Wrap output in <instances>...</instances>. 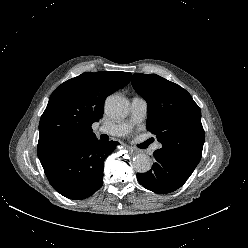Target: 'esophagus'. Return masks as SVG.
Instances as JSON below:
<instances>
[{"mask_svg":"<svg viewBox=\"0 0 248 248\" xmlns=\"http://www.w3.org/2000/svg\"><path fill=\"white\" fill-rule=\"evenodd\" d=\"M128 152L131 154V155H136L139 151L133 147H128Z\"/></svg>","mask_w":248,"mask_h":248,"instance_id":"1","label":"esophagus"}]
</instances>
